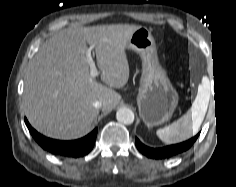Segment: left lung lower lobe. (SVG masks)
Segmentation results:
<instances>
[{
  "instance_id": "1",
  "label": "left lung lower lobe",
  "mask_w": 236,
  "mask_h": 187,
  "mask_svg": "<svg viewBox=\"0 0 236 187\" xmlns=\"http://www.w3.org/2000/svg\"><path fill=\"white\" fill-rule=\"evenodd\" d=\"M197 138H198V135L184 142L166 146L163 148H150L144 145L142 142H140L138 138H136V147L141 153H143L149 158L164 159V158H169V157L175 156L179 153L186 151L193 145V143L196 141Z\"/></svg>"
}]
</instances>
